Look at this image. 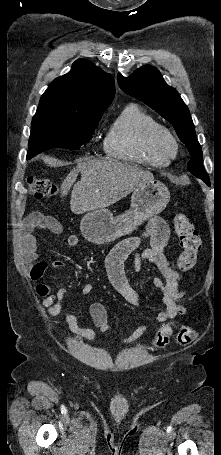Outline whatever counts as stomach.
I'll list each match as a JSON object with an SVG mask.
<instances>
[{"instance_id":"stomach-1","label":"stomach","mask_w":221,"mask_h":455,"mask_svg":"<svg viewBox=\"0 0 221 455\" xmlns=\"http://www.w3.org/2000/svg\"><path fill=\"white\" fill-rule=\"evenodd\" d=\"M169 200L170 192L163 183L146 181L133 191L130 208L125 213L113 216L106 208L88 211L80 222L81 233L93 244L113 242L162 212Z\"/></svg>"}]
</instances>
